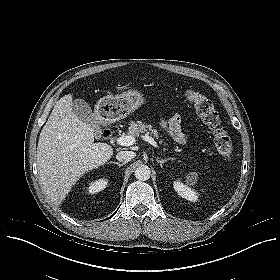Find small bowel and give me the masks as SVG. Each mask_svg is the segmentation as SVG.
Segmentation results:
<instances>
[{
    "mask_svg": "<svg viewBox=\"0 0 280 280\" xmlns=\"http://www.w3.org/2000/svg\"><path fill=\"white\" fill-rule=\"evenodd\" d=\"M160 125L176 142L185 143L186 136L181 130V118L178 114L168 120H161Z\"/></svg>",
    "mask_w": 280,
    "mask_h": 280,
    "instance_id": "c3829d8e",
    "label": "small bowel"
}]
</instances>
